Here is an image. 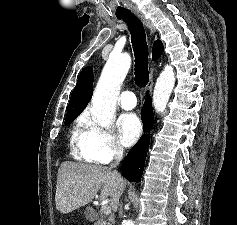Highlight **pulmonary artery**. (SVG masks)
Instances as JSON below:
<instances>
[{
	"instance_id": "e3ab8cb5",
	"label": "pulmonary artery",
	"mask_w": 237,
	"mask_h": 225,
	"mask_svg": "<svg viewBox=\"0 0 237 225\" xmlns=\"http://www.w3.org/2000/svg\"><path fill=\"white\" fill-rule=\"evenodd\" d=\"M119 105L125 110H131L136 106V97L134 93L125 91L122 92L119 96Z\"/></svg>"
}]
</instances>
